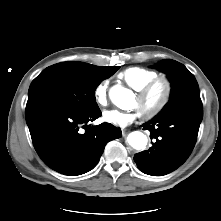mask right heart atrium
I'll list each match as a JSON object with an SVG mask.
<instances>
[{
  "instance_id": "obj_1",
  "label": "right heart atrium",
  "mask_w": 221,
  "mask_h": 221,
  "mask_svg": "<svg viewBox=\"0 0 221 221\" xmlns=\"http://www.w3.org/2000/svg\"><path fill=\"white\" fill-rule=\"evenodd\" d=\"M94 96L96 102L100 106H106L108 103V86L106 82L99 83L95 90H94Z\"/></svg>"
}]
</instances>
